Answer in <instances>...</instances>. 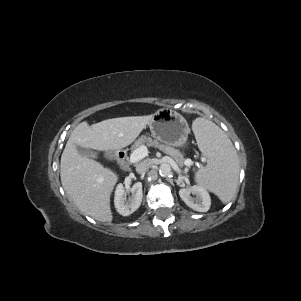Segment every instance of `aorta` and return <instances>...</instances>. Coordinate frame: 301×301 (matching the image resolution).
Masks as SVG:
<instances>
[{"instance_id":"1","label":"aorta","mask_w":301,"mask_h":301,"mask_svg":"<svg viewBox=\"0 0 301 301\" xmlns=\"http://www.w3.org/2000/svg\"><path fill=\"white\" fill-rule=\"evenodd\" d=\"M172 172V169H171V166L167 163H163L160 165L159 167V174L162 176V177H167L171 174Z\"/></svg>"}]
</instances>
